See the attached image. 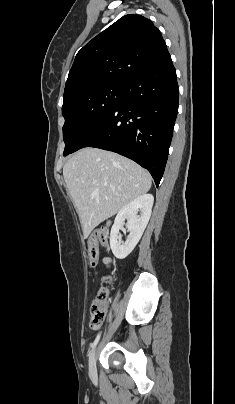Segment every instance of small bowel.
Instances as JSON below:
<instances>
[{
    "label": "small bowel",
    "instance_id": "obj_1",
    "mask_svg": "<svg viewBox=\"0 0 235 404\" xmlns=\"http://www.w3.org/2000/svg\"><path fill=\"white\" fill-rule=\"evenodd\" d=\"M104 262H105V263H109V259H108V258H105V259H104Z\"/></svg>",
    "mask_w": 235,
    "mask_h": 404
}]
</instances>
